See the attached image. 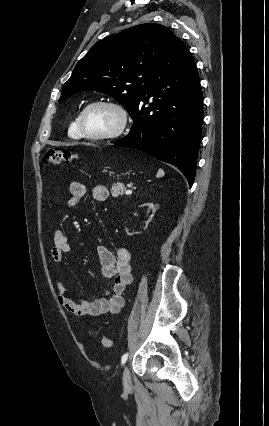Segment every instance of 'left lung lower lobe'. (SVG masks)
I'll use <instances>...</instances> for the list:
<instances>
[{
	"instance_id": "1",
	"label": "left lung lower lobe",
	"mask_w": 269,
	"mask_h": 426,
	"mask_svg": "<svg viewBox=\"0 0 269 426\" xmlns=\"http://www.w3.org/2000/svg\"><path fill=\"white\" fill-rule=\"evenodd\" d=\"M153 103L146 107L149 98ZM133 125L114 144L135 148L178 167L191 187L203 120V95L194 59L179 38L149 79V88L129 112Z\"/></svg>"
}]
</instances>
